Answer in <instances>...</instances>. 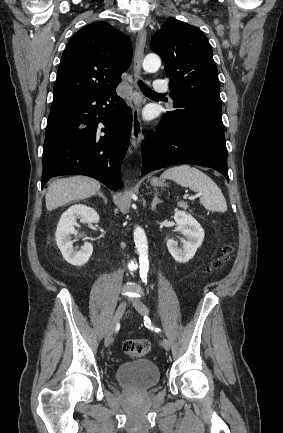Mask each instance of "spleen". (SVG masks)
<instances>
[{"label": "spleen", "mask_w": 283, "mask_h": 433, "mask_svg": "<svg viewBox=\"0 0 283 433\" xmlns=\"http://www.w3.org/2000/svg\"><path fill=\"white\" fill-rule=\"evenodd\" d=\"M161 178H171L181 186H188L194 192H200V202L207 210L226 212L227 202L219 186L202 170L189 166V164H180V166H172L164 170Z\"/></svg>", "instance_id": "3e777b00"}]
</instances>
